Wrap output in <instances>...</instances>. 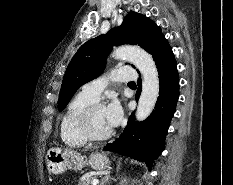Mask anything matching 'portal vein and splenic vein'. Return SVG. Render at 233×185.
<instances>
[{
	"label": "portal vein and splenic vein",
	"mask_w": 233,
	"mask_h": 185,
	"mask_svg": "<svg viewBox=\"0 0 233 185\" xmlns=\"http://www.w3.org/2000/svg\"><path fill=\"white\" fill-rule=\"evenodd\" d=\"M99 183V180L98 179H93L91 181V185H97Z\"/></svg>",
	"instance_id": "obj_1"
}]
</instances>
